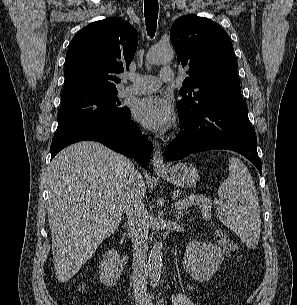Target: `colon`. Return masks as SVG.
I'll return each instance as SVG.
<instances>
[{"mask_svg":"<svg viewBox=\"0 0 297 305\" xmlns=\"http://www.w3.org/2000/svg\"><path fill=\"white\" fill-rule=\"evenodd\" d=\"M217 240L227 255L235 256L238 252L237 243L228 235L220 232L217 234Z\"/></svg>","mask_w":297,"mask_h":305,"instance_id":"obj_1","label":"colon"}]
</instances>
